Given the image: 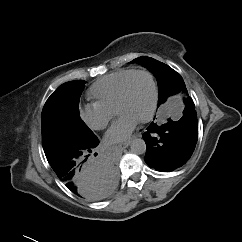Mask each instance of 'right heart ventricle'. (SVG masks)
Returning a JSON list of instances; mask_svg holds the SVG:
<instances>
[{"mask_svg":"<svg viewBox=\"0 0 242 242\" xmlns=\"http://www.w3.org/2000/svg\"><path fill=\"white\" fill-rule=\"evenodd\" d=\"M133 71L134 69H122L98 79L89 88V96L95 100V103L115 111L121 85Z\"/></svg>","mask_w":242,"mask_h":242,"instance_id":"obj_1","label":"right heart ventricle"}]
</instances>
